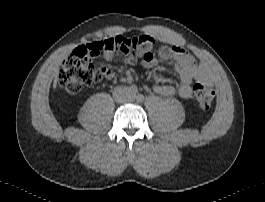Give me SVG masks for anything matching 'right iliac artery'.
I'll return each instance as SVG.
<instances>
[{"label": "right iliac artery", "instance_id": "obj_1", "mask_svg": "<svg viewBox=\"0 0 265 202\" xmlns=\"http://www.w3.org/2000/svg\"><path fill=\"white\" fill-rule=\"evenodd\" d=\"M128 90L130 93H133V94H136L138 91L135 85L130 86Z\"/></svg>", "mask_w": 265, "mask_h": 202}]
</instances>
